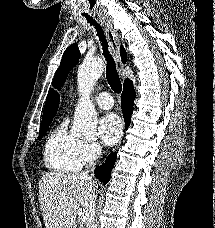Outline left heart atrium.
Listing matches in <instances>:
<instances>
[{
  "mask_svg": "<svg viewBox=\"0 0 215 228\" xmlns=\"http://www.w3.org/2000/svg\"><path fill=\"white\" fill-rule=\"evenodd\" d=\"M122 131V122L115 113H107L99 120V137L106 146L114 145L120 139Z\"/></svg>",
  "mask_w": 215,
  "mask_h": 228,
  "instance_id": "left-heart-atrium-1",
  "label": "left heart atrium"
}]
</instances>
